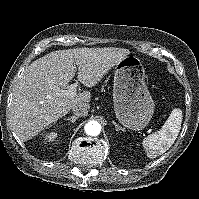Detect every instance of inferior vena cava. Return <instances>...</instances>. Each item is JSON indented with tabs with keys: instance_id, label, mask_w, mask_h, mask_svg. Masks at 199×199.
<instances>
[{
	"instance_id": "inferior-vena-cava-1",
	"label": "inferior vena cava",
	"mask_w": 199,
	"mask_h": 199,
	"mask_svg": "<svg viewBox=\"0 0 199 199\" xmlns=\"http://www.w3.org/2000/svg\"><path fill=\"white\" fill-rule=\"evenodd\" d=\"M72 111L76 116H81V117L86 116L88 114V108L82 103L73 106Z\"/></svg>"
}]
</instances>
